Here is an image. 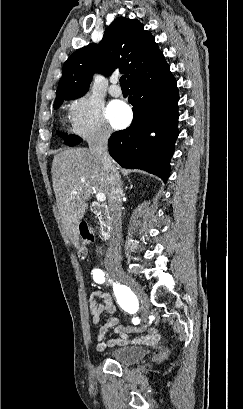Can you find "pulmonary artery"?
Wrapping results in <instances>:
<instances>
[{
    "instance_id": "e3ab8cb5",
    "label": "pulmonary artery",
    "mask_w": 243,
    "mask_h": 409,
    "mask_svg": "<svg viewBox=\"0 0 243 409\" xmlns=\"http://www.w3.org/2000/svg\"><path fill=\"white\" fill-rule=\"evenodd\" d=\"M118 79L117 77L113 76L111 78V85L109 87V93L113 97H120L122 95L121 88L117 85Z\"/></svg>"
}]
</instances>
